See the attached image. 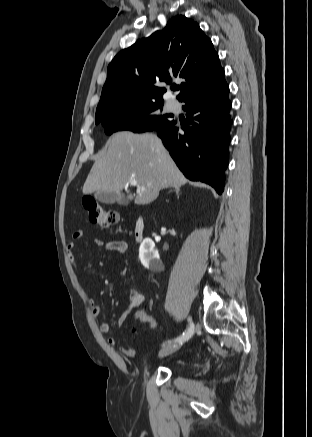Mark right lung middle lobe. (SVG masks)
I'll return each instance as SVG.
<instances>
[{
	"mask_svg": "<svg viewBox=\"0 0 312 437\" xmlns=\"http://www.w3.org/2000/svg\"><path fill=\"white\" fill-rule=\"evenodd\" d=\"M162 106V101L125 106L95 120V123L102 122L105 133L108 135L117 131L134 133L157 131L174 121L170 119V115L159 110Z\"/></svg>",
	"mask_w": 312,
	"mask_h": 437,
	"instance_id": "obj_1",
	"label": "right lung middle lobe"
}]
</instances>
